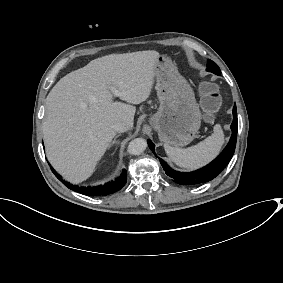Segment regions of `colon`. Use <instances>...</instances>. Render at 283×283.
Here are the masks:
<instances>
[{
    "label": "colon",
    "instance_id": "obj_1",
    "mask_svg": "<svg viewBox=\"0 0 283 283\" xmlns=\"http://www.w3.org/2000/svg\"><path fill=\"white\" fill-rule=\"evenodd\" d=\"M201 106L207 118H212L222 104L221 94L218 87L209 81H203L199 87Z\"/></svg>",
    "mask_w": 283,
    "mask_h": 283
}]
</instances>
